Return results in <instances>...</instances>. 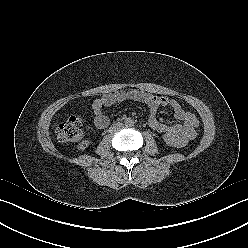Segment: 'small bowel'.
Listing matches in <instances>:
<instances>
[{
	"label": "small bowel",
	"mask_w": 248,
	"mask_h": 248,
	"mask_svg": "<svg viewBox=\"0 0 248 248\" xmlns=\"http://www.w3.org/2000/svg\"><path fill=\"white\" fill-rule=\"evenodd\" d=\"M127 100L137 101L147 105L149 109L148 125L152 130L163 134L172 133L180 138L182 144L196 137V129L199 126V121L193 113L186 111L174 99L156 96L141 90H118L95 99L92 103L95 126L98 129L107 127L109 119L104 112V108ZM161 106H169L173 110L174 117L181 121V123L168 125L160 121L157 118V110Z\"/></svg>",
	"instance_id": "1"
}]
</instances>
